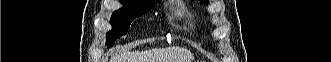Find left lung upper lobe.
Wrapping results in <instances>:
<instances>
[{"label":"left lung upper lobe","instance_id":"1","mask_svg":"<svg viewBox=\"0 0 331 62\" xmlns=\"http://www.w3.org/2000/svg\"><path fill=\"white\" fill-rule=\"evenodd\" d=\"M201 1H203L204 3H208V0H201Z\"/></svg>","mask_w":331,"mask_h":62}]
</instances>
